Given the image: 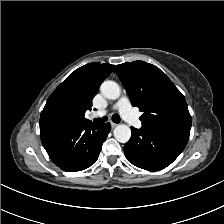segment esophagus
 Here are the masks:
<instances>
[{
  "instance_id": "1",
  "label": "esophagus",
  "mask_w": 224,
  "mask_h": 224,
  "mask_svg": "<svg viewBox=\"0 0 224 224\" xmlns=\"http://www.w3.org/2000/svg\"><path fill=\"white\" fill-rule=\"evenodd\" d=\"M117 125H118L117 123L111 122V127L112 128H115Z\"/></svg>"
}]
</instances>
